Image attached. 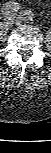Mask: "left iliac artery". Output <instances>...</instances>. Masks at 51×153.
Listing matches in <instances>:
<instances>
[{"instance_id": "left-iliac-artery-1", "label": "left iliac artery", "mask_w": 51, "mask_h": 153, "mask_svg": "<svg viewBox=\"0 0 51 153\" xmlns=\"http://www.w3.org/2000/svg\"><path fill=\"white\" fill-rule=\"evenodd\" d=\"M22 15V18L24 19V20H26V21H31V20H33V13H32V11L31 10H24V11H22V13H21Z\"/></svg>"}]
</instances>
